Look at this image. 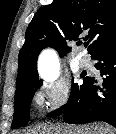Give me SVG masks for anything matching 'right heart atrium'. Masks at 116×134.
I'll list each match as a JSON object with an SVG mask.
<instances>
[{
  "mask_svg": "<svg viewBox=\"0 0 116 134\" xmlns=\"http://www.w3.org/2000/svg\"><path fill=\"white\" fill-rule=\"evenodd\" d=\"M70 92L69 83L57 79L52 82L44 83L38 91L36 99L48 111L55 112L68 103Z\"/></svg>",
  "mask_w": 116,
  "mask_h": 134,
  "instance_id": "obj_1",
  "label": "right heart atrium"
}]
</instances>
